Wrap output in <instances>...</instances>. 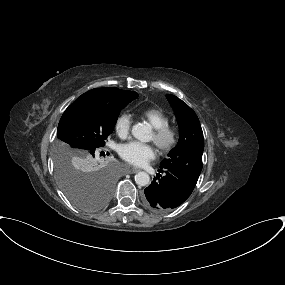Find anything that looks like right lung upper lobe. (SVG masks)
<instances>
[{"mask_svg":"<svg viewBox=\"0 0 285 285\" xmlns=\"http://www.w3.org/2000/svg\"><path fill=\"white\" fill-rule=\"evenodd\" d=\"M118 91H122L118 88H95L92 89L84 94L81 95V97H86V96H92V95H96V96H104V95H110L113 93H116Z\"/></svg>","mask_w":285,"mask_h":285,"instance_id":"1","label":"right lung upper lobe"}]
</instances>
